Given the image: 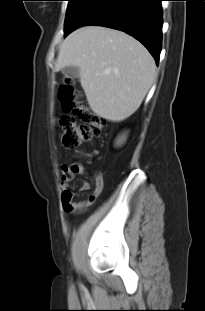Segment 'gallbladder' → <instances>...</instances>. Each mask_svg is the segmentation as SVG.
I'll return each mask as SVG.
<instances>
[{
  "label": "gallbladder",
  "instance_id": "1",
  "mask_svg": "<svg viewBox=\"0 0 205 311\" xmlns=\"http://www.w3.org/2000/svg\"><path fill=\"white\" fill-rule=\"evenodd\" d=\"M62 74L67 78L76 79L80 77V69L77 66L64 67Z\"/></svg>",
  "mask_w": 205,
  "mask_h": 311
}]
</instances>
